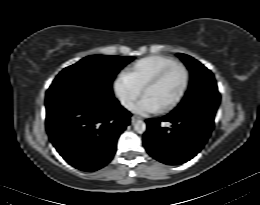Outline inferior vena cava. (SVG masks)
<instances>
[{"label":"inferior vena cava","instance_id":"obj_1","mask_svg":"<svg viewBox=\"0 0 260 205\" xmlns=\"http://www.w3.org/2000/svg\"><path fill=\"white\" fill-rule=\"evenodd\" d=\"M123 104L127 106V103H123Z\"/></svg>","mask_w":260,"mask_h":205}]
</instances>
